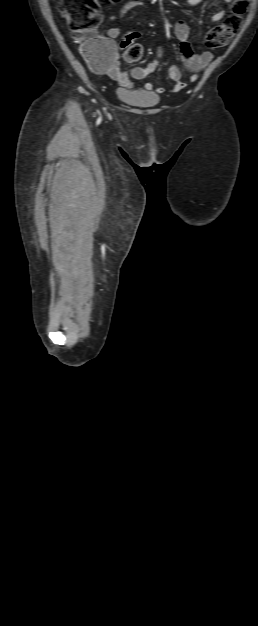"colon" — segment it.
Returning a JSON list of instances; mask_svg holds the SVG:
<instances>
[{
    "mask_svg": "<svg viewBox=\"0 0 258 626\" xmlns=\"http://www.w3.org/2000/svg\"><path fill=\"white\" fill-rule=\"evenodd\" d=\"M121 0H60L59 9L66 20L73 39L82 44L85 56L95 66L103 64L94 31L101 20L99 9L119 3ZM250 0H233L231 14L223 23L216 26L205 37L208 47L225 46L235 35L241 25ZM121 47L124 49L128 62L139 61L144 55L141 44L134 42V35L126 36ZM191 80H195L192 76Z\"/></svg>",
    "mask_w": 258,
    "mask_h": 626,
    "instance_id": "colon-1",
    "label": "colon"
}]
</instances>
